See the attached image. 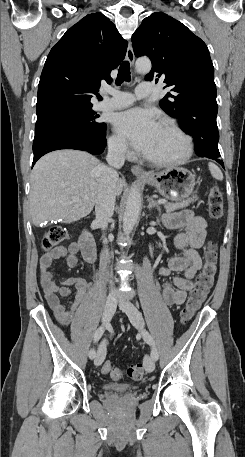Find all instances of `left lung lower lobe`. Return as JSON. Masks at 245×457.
Instances as JSON below:
<instances>
[{
	"mask_svg": "<svg viewBox=\"0 0 245 457\" xmlns=\"http://www.w3.org/2000/svg\"><path fill=\"white\" fill-rule=\"evenodd\" d=\"M181 129L192 135L195 142L196 154L217 161L224 167L218 150L219 132L216 117L202 114L201 117L191 118Z\"/></svg>",
	"mask_w": 245,
	"mask_h": 457,
	"instance_id": "0a47b994",
	"label": "left lung lower lobe"
}]
</instances>
